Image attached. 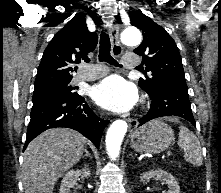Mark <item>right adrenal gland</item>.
<instances>
[{
  "label": "right adrenal gland",
  "mask_w": 221,
  "mask_h": 193,
  "mask_svg": "<svg viewBox=\"0 0 221 193\" xmlns=\"http://www.w3.org/2000/svg\"><path fill=\"white\" fill-rule=\"evenodd\" d=\"M85 155L82 157L83 159L85 158V157H90L91 158V154L89 153V151L87 150V147L85 146Z\"/></svg>",
  "instance_id": "1"
}]
</instances>
